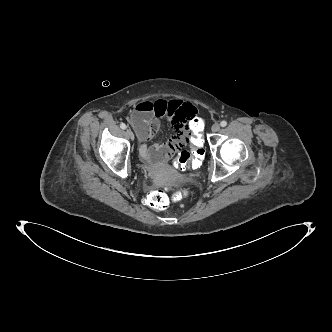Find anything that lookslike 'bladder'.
Here are the masks:
<instances>
[{"mask_svg": "<svg viewBox=\"0 0 332 332\" xmlns=\"http://www.w3.org/2000/svg\"><path fill=\"white\" fill-rule=\"evenodd\" d=\"M147 164H148V165H151V164H152V162H148V161H147Z\"/></svg>", "mask_w": 332, "mask_h": 332, "instance_id": "31cf9c89", "label": "bladder"}]
</instances>
